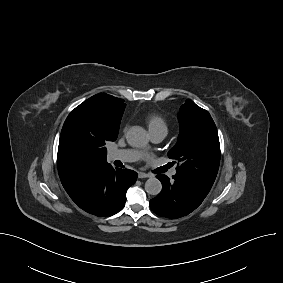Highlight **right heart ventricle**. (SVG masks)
Segmentation results:
<instances>
[{"label":"right heart ventricle","mask_w":283,"mask_h":283,"mask_svg":"<svg viewBox=\"0 0 283 283\" xmlns=\"http://www.w3.org/2000/svg\"><path fill=\"white\" fill-rule=\"evenodd\" d=\"M146 123L148 125L150 132L159 131V130H163L166 132L168 131V125L166 120L159 114L156 113L149 114L146 117Z\"/></svg>","instance_id":"obj_1"}]
</instances>
